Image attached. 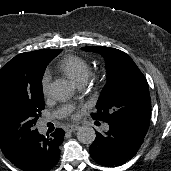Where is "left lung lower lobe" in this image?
Segmentation results:
<instances>
[{
	"instance_id": "left-lung-lower-lobe-1",
	"label": "left lung lower lobe",
	"mask_w": 171,
	"mask_h": 171,
	"mask_svg": "<svg viewBox=\"0 0 171 171\" xmlns=\"http://www.w3.org/2000/svg\"><path fill=\"white\" fill-rule=\"evenodd\" d=\"M105 134L96 132V139L90 146V155L98 164L120 166L133 158L140 148L147 130L121 122H108Z\"/></svg>"
}]
</instances>
